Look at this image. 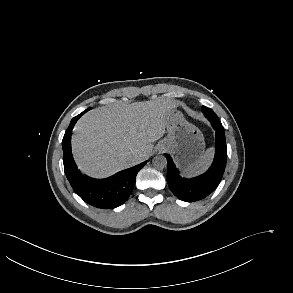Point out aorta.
Listing matches in <instances>:
<instances>
[{"mask_svg": "<svg viewBox=\"0 0 293 293\" xmlns=\"http://www.w3.org/2000/svg\"><path fill=\"white\" fill-rule=\"evenodd\" d=\"M152 164L157 169H164L167 166L166 157L163 155H157L153 158Z\"/></svg>", "mask_w": 293, "mask_h": 293, "instance_id": "obj_1", "label": "aorta"}]
</instances>
